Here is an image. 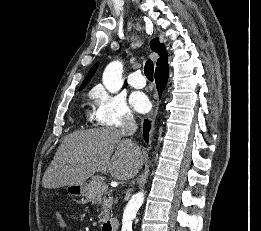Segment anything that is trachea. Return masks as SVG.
<instances>
[{"label": "trachea", "mask_w": 261, "mask_h": 231, "mask_svg": "<svg viewBox=\"0 0 261 231\" xmlns=\"http://www.w3.org/2000/svg\"><path fill=\"white\" fill-rule=\"evenodd\" d=\"M153 72H154V65L153 62L151 60H148L145 63V67H144V73L145 76L148 78V80L152 81L153 80Z\"/></svg>", "instance_id": "3493384b"}]
</instances>
